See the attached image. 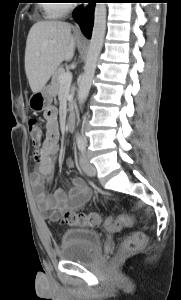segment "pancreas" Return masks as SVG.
Instances as JSON below:
<instances>
[{
	"mask_svg": "<svg viewBox=\"0 0 181 300\" xmlns=\"http://www.w3.org/2000/svg\"><path fill=\"white\" fill-rule=\"evenodd\" d=\"M66 71L65 69L61 66L59 68L56 69V71L54 72L53 76H52V80H51V88L53 91V95L56 96L60 93V89L62 87L61 83H60V76L62 74H64ZM74 87L72 86L70 88V96L72 97L74 95ZM71 106V103H69V107Z\"/></svg>",
	"mask_w": 181,
	"mask_h": 300,
	"instance_id": "1",
	"label": "pancreas"
}]
</instances>
